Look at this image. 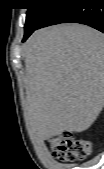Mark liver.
I'll use <instances>...</instances> for the list:
<instances>
[{
    "mask_svg": "<svg viewBox=\"0 0 104 169\" xmlns=\"http://www.w3.org/2000/svg\"><path fill=\"white\" fill-rule=\"evenodd\" d=\"M23 50L34 137L87 130L104 105L103 34L81 24H60L35 31Z\"/></svg>",
    "mask_w": 104,
    "mask_h": 169,
    "instance_id": "obj_1",
    "label": "liver"
}]
</instances>
